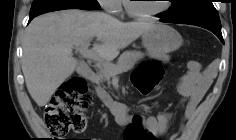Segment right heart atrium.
<instances>
[{"label":"right heart atrium","instance_id":"right-heart-atrium-1","mask_svg":"<svg viewBox=\"0 0 236 140\" xmlns=\"http://www.w3.org/2000/svg\"><path fill=\"white\" fill-rule=\"evenodd\" d=\"M99 3L110 14H118L122 10L121 0H99Z\"/></svg>","mask_w":236,"mask_h":140}]
</instances>
